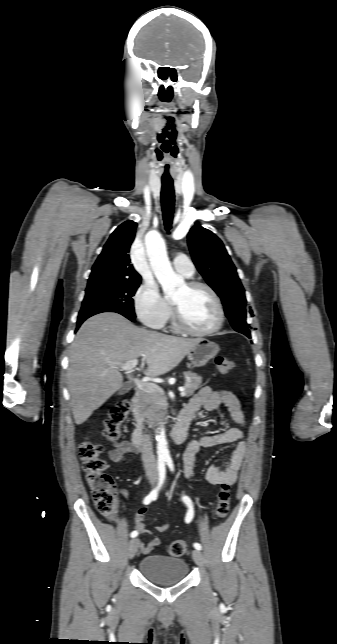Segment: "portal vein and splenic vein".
<instances>
[{"label": "portal vein and splenic vein", "instance_id": "18ae733b", "mask_svg": "<svg viewBox=\"0 0 337 644\" xmlns=\"http://www.w3.org/2000/svg\"><path fill=\"white\" fill-rule=\"evenodd\" d=\"M137 364H138V359H132V360L127 361L125 363H115V366H117L118 368H121L126 373L131 374L132 371H133V368H135L137 366ZM133 381H134L135 385L137 386V388L142 390V391H144V392L152 393V392L160 391V392L163 393V390L156 384L144 382V381L139 380L138 378H133ZM180 395H181V397L186 396V393H185L184 389L181 390Z\"/></svg>", "mask_w": 337, "mask_h": 644}]
</instances>
